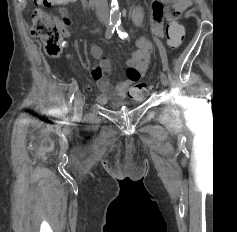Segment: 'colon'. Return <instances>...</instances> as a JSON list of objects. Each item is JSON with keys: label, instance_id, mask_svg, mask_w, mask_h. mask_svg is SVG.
<instances>
[{"label": "colon", "instance_id": "5ec220e1", "mask_svg": "<svg viewBox=\"0 0 237 232\" xmlns=\"http://www.w3.org/2000/svg\"><path fill=\"white\" fill-rule=\"evenodd\" d=\"M42 6L49 7L53 5H64L65 0H37ZM32 36L39 38L42 42L45 53L50 57H56L60 54L63 47L64 32L59 26L55 17L50 15L43 8H35L31 15ZM69 13L66 11L64 15V23L68 24ZM166 38L168 47L176 50L180 47L184 38V28L177 21L172 20L166 26ZM149 88L150 86L146 84Z\"/></svg>", "mask_w": 237, "mask_h": 232}]
</instances>
